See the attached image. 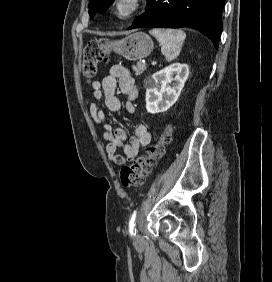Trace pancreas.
Returning <instances> with one entry per match:
<instances>
[{"mask_svg":"<svg viewBox=\"0 0 272 282\" xmlns=\"http://www.w3.org/2000/svg\"><path fill=\"white\" fill-rule=\"evenodd\" d=\"M147 66L141 62H138L136 66H133V70L136 75H141L144 71H146Z\"/></svg>","mask_w":272,"mask_h":282,"instance_id":"pancreas-1","label":"pancreas"}]
</instances>
